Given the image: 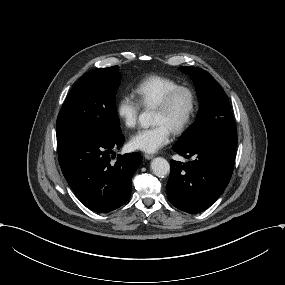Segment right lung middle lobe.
<instances>
[{
	"mask_svg": "<svg viewBox=\"0 0 285 285\" xmlns=\"http://www.w3.org/2000/svg\"><path fill=\"white\" fill-rule=\"evenodd\" d=\"M120 80L118 66L94 69L81 76L58 114L57 138L121 135L115 98Z\"/></svg>",
	"mask_w": 285,
	"mask_h": 285,
	"instance_id": "obj_1",
	"label": "right lung middle lobe"
}]
</instances>
